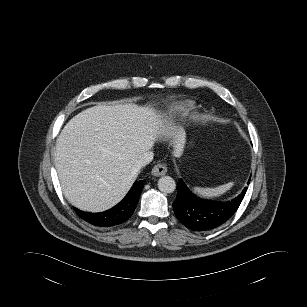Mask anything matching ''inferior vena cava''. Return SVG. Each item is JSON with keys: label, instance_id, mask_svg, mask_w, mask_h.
<instances>
[{"label": "inferior vena cava", "instance_id": "1", "mask_svg": "<svg viewBox=\"0 0 307 307\" xmlns=\"http://www.w3.org/2000/svg\"><path fill=\"white\" fill-rule=\"evenodd\" d=\"M153 152L152 151H147L145 152L140 159L137 161L135 169L136 170H140L142 167L146 166L147 164H149L152 159H153Z\"/></svg>", "mask_w": 307, "mask_h": 307}]
</instances>
